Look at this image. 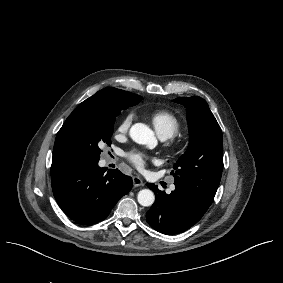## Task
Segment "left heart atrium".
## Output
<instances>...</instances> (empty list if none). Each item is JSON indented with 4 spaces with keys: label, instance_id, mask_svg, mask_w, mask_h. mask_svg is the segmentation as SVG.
I'll use <instances>...</instances> for the list:
<instances>
[{
    "label": "left heart atrium",
    "instance_id": "left-heart-atrium-1",
    "mask_svg": "<svg viewBox=\"0 0 283 283\" xmlns=\"http://www.w3.org/2000/svg\"><path fill=\"white\" fill-rule=\"evenodd\" d=\"M127 157L129 161L139 169L143 168L146 163L154 160L151 155H148L142 151H132L128 153Z\"/></svg>",
    "mask_w": 283,
    "mask_h": 283
}]
</instances>
